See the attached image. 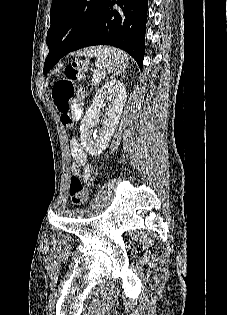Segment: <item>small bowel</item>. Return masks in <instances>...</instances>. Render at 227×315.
<instances>
[{"mask_svg": "<svg viewBox=\"0 0 227 315\" xmlns=\"http://www.w3.org/2000/svg\"><path fill=\"white\" fill-rule=\"evenodd\" d=\"M79 98H83L84 93L81 90L78 94ZM73 109L78 113V116L81 114V107L80 104L75 103L73 105ZM70 149L72 155V170L73 172H77L78 167L84 166L86 163V154L84 153L83 149L80 146V143L77 139H72L70 141ZM89 170V169H87Z\"/></svg>", "mask_w": 227, "mask_h": 315, "instance_id": "c3829d8e", "label": "small bowel"}]
</instances>
